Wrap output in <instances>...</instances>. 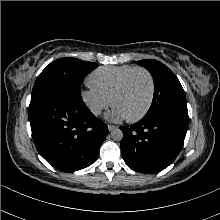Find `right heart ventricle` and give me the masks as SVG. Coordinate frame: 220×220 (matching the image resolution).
Returning a JSON list of instances; mask_svg holds the SVG:
<instances>
[{
    "label": "right heart ventricle",
    "mask_w": 220,
    "mask_h": 220,
    "mask_svg": "<svg viewBox=\"0 0 220 220\" xmlns=\"http://www.w3.org/2000/svg\"><path fill=\"white\" fill-rule=\"evenodd\" d=\"M134 68L136 67L130 65L100 67L89 75L88 83L91 87L111 98L113 91L122 79Z\"/></svg>",
    "instance_id": "obj_1"
}]
</instances>
